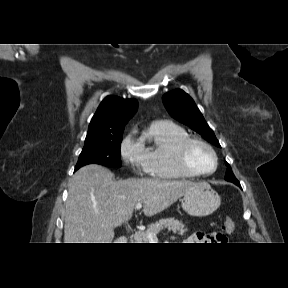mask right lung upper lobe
Listing matches in <instances>:
<instances>
[{"mask_svg": "<svg viewBox=\"0 0 288 288\" xmlns=\"http://www.w3.org/2000/svg\"><path fill=\"white\" fill-rule=\"evenodd\" d=\"M137 107L136 99L107 96L91 119L85 141L123 132L126 123L137 111Z\"/></svg>", "mask_w": 288, "mask_h": 288, "instance_id": "cb5924a9", "label": "right lung upper lobe"}]
</instances>
